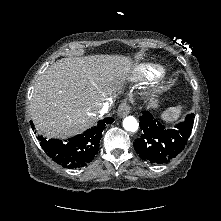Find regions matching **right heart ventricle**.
Segmentation results:
<instances>
[{
  "label": "right heart ventricle",
  "mask_w": 221,
  "mask_h": 221,
  "mask_svg": "<svg viewBox=\"0 0 221 221\" xmlns=\"http://www.w3.org/2000/svg\"><path fill=\"white\" fill-rule=\"evenodd\" d=\"M152 71H153V70H152ZM153 72H155V71H153ZM147 73H149V74H150V72H148V71H147Z\"/></svg>",
  "instance_id": "obj_1"
}]
</instances>
